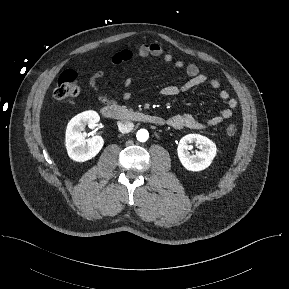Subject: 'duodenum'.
Segmentation results:
<instances>
[{"mask_svg":"<svg viewBox=\"0 0 289 289\" xmlns=\"http://www.w3.org/2000/svg\"><path fill=\"white\" fill-rule=\"evenodd\" d=\"M101 114L107 119L135 121L157 126L165 124V120L160 116L125 109L115 104L102 107Z\"/></svg>","mask_w":289,"mask_h":289,"instance_id":"1","label":"duodenum"}]
</instances>
